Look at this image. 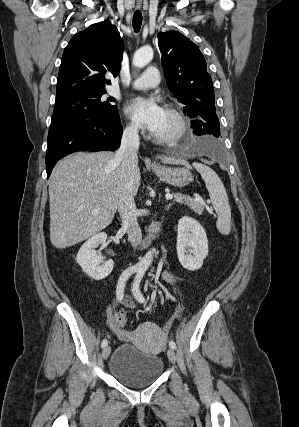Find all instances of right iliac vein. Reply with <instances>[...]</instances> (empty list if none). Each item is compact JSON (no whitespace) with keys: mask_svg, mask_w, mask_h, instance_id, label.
<instances>
[{"mask_svg":"<svg viewBox=\"0 0 299 427\" xmlns=\"http://www.w3.org/2000/svg\"><path fill=\"white\" fill-rule=\"evenodd\" d=\"M110 353H111V347L110 346H105L103 348V351H102V357H103V359L106 360L109 357Z\"/></svg>","mask_w":299,"mask_h":427,"instance_id":"63e3f726","label":"right iliac vein"}]
</instances>
